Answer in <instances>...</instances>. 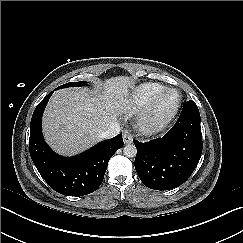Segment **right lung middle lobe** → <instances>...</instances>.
Here are the masks:
<instances>
[{
  "instance_id": "dd1d6c3e",
  "label": "right lung middle lobe",
  "mask_w": 243,
  "mask_h": 243,
  "mask_svg": "<svg viewBox=\"0 0 243 243\" xmlns=\"http://www.w3.org/2000/svg\"><path fill=\"white\" fill-rule=\"evenodd\" d=\"M83 85H86V82H83V81H81V82H70V83L59 86L55 90L61 89V88H66V87H71V86H83Z\"/></svg>"
}]
</instances>
